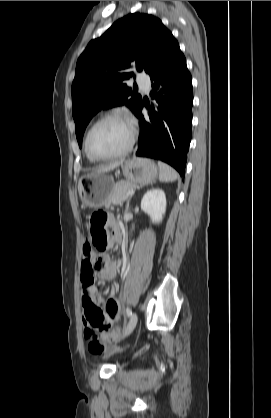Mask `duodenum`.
I'll use <instances>...</instances> for the list:
<instances>
[{
	"label": "duodenum",
	"instance_id": "1",
	"mask_svg": "<svg viewBox=\"0 0 271 418\" xmlns=\"http://www.w3.org/2000/svg\"><path fill=\"white\" fill-rule=\"evenodd\" d=\"M115 239L116 240H119L120 239V234H119V232L117 231V232H115Z\"/></svg>",
	"mask_w": 271,
	"mask_h": 418
}]
</instances>
